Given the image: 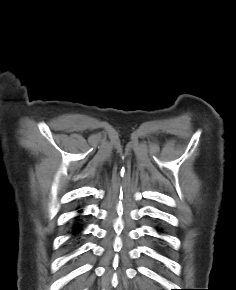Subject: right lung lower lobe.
Returning <instances> with one entry per match:
<instances>
[{"mask_svg": "<svg viewBox=\"0 0 236 290\" xmlns=\"http://www.w3.org/2000/svg\"><path fill=\"white\" fill-rule=\"evenodd\" d=\"M81 210H79L80 212ZM83 224L80 216L74 218V223L72 225L70 233L72 234V240L76 242L79 238L81 231L83 230Z\"/></svg>", "mask_w": 236, "mask_h": 290, "instance_id": "98d812e1", "label": "right lung lower lobe"}]
</instances>
